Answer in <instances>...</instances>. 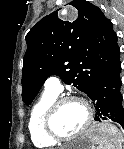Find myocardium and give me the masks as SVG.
Wrapping results in <instances>:
<instances>
[{
    "instance_id": "1",
    "label": "myocardium",
    "mask_w": 124,
    "mask_h": 149,
    "mask_svg": "<svg viewBox=\"0 0 124 149\" xmlns=\"http://www.w3.org/2000/svg\"><path fill=\"white\" fill-rule=\"evenodd\" d=\"M70 101L81 102L86 107L87 117L84 125L77 132L70 135H62L56 131L54 127V120L59 108L64 103L70 102ZM93 114H94L93 107L86 99L78 96H61L55 99L47 109L44 117V130L50 138L56 140L57 142L70 141L84 134L90 128L93 121Z\"/></svg>"
}]
</instances>
